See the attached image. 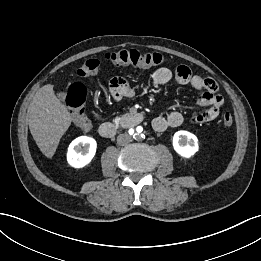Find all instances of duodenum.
Instances as JSON below:
<instances>
[{
    "label": "duodenum",
    "instance_id": "1",
    "mask_svg": "<svg viewBox=\"0 0 261 261\" xmlns=\"http://www.w3.org/2000/svg\"><path fill=\"white\" fill-rule=\"evenodd\" d=\"M144 120L140 112H131L123 116L118 122H104L98 128V133L103 138L114 137L119 130L134 127Z\"/></svg>",
    "mask_w": 261,
    "mask_h": 261
}]
</instances>
